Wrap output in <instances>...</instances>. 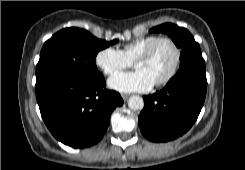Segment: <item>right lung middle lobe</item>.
Masks as SVG:
<instances>
[{
	"label": "right lung middle lobe",
	"instance_id": "1",
	"mask_svg": "<svg viewBox=\"0 0 245 170\" xmlns=\"http://www.w3.org/2000/svg\"><path fill=\"white\" fill-rule=\"evenodd\" d=\"M99 40L88 31L66 28L45 42L36 67V85L39 90L46 85L67 77H87L100 74L95 57L98 51L115 44Z\"/></svg>",
	"mask_w": 245,
	"mask_h": 170
}]
</instances>
